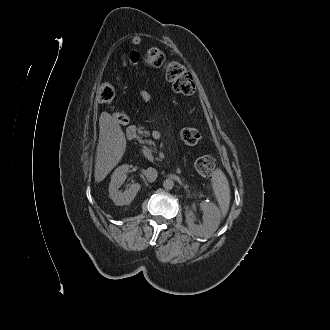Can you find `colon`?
<instances>
[{"mask_svg":"<svg viewBox=\"0 0 330 330\" xmlns=\"http://www.w3.org/2000/svg\"><path fill=\"white\" fill-rule=\"evenodd\" d=\"M136 55L131 52L130 55ZM129 55V56H130ZM144 63L150 68H162L165 78L171 83L175 93L182 95H191L195 90V83L192 74L187 68L179 62L166 61L165 55L158 47H150L144 54ZM115 96V90L112 85L105 83L101 85L98 91V97L101 102L110 103ZM113 117L119 122H124L126 114L124 112H114ZM182 140L188 145L197 144L201 138V133L195 128H185L181 132ZM196 170L203 176H209L215 169V160L211 156H203L197 159L195 163Z\"/></svg>","mask_w":330,"mask_h":330,"instance_id":"obj_1","label":"colon"}]
</instances>
